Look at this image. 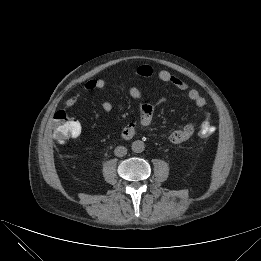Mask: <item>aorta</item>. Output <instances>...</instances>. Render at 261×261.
I'll use <instances>...</instances> for the list:
<instances>
[{
	"label": "aorta",
	"mask_w": 261,
	"mask_h": 261,
	"mask_svg": "<svg viewBox=\"0 0 261 261\" xmlns=\"http://www.w3.org/2000/svg\"><path fill=\"white\" fill-rule=\"evenodd\" d=\"M131 149L135 153H141L145 149V144L141 140H136L132 143Z\"/></svg>",
	"instance_id": "762f6f07"
}]
</instances>
